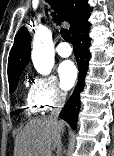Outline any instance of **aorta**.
<instances>
[{
	"label": "aorta",
	"instance_id": "1",
	"mask_svg": "<svg viewBox=\"0 0 114 156\" xmlns=\"http://www.w3.org/2000/svg\"><path fill=\"white\" fill-rule=\"evenodd\" d=\"M32 61L35 69L42 75H48L54 66V49L51 31L40 26L37 28L32 49Z\"/></svg>",
	"mask_w": 114,
	"mask_h": 156
}]
</instances>
